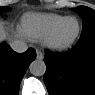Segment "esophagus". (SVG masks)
Masks as SVG:
<instances>
[{
	"label": "esophagus",
	"mask_w": 95,
	"mask_h": 95,
	"mask_svg": "<svg viewBox=\"0 0 95 95\" xmlns=\"http://www.w3.org/2000/svg\"><path fill=\"white\" fill-rule=\"evenodd\" d=\"M36 58L38 60H42L44 58V55L40 50H36Z\"/></svg>",
	"instance_id": "1"
}]
</instances>
